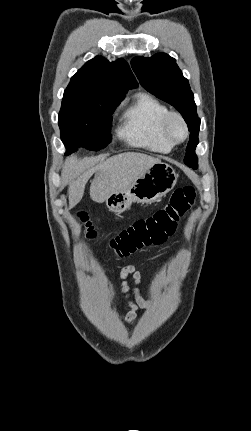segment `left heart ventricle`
Returning a JSON list of instances; mask_svg holds the SVG:
<instances>
[{"mask_svg": "<svg viewBox=\"0 0 251 431\" xmlns=\"http://www.w3.org/2000/svg\"><path fill=\"white\" fill-rule=\"evenodd\" d=\"M171 131L175 138L181 139L184 136V130L180 122L174 120L171 124Z\"/></svg>", "mask_w": 251, "mask_h": 431, "instance_id": "1", "label": "left heart ventricle"}]
</instances>
